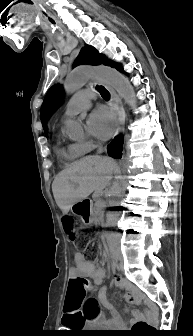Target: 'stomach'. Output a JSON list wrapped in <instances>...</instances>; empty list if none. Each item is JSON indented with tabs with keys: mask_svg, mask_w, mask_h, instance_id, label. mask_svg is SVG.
I'll return each instance as SVG.
<instances>
[{
	"mask_svg": "<svg viewBox=\"0 0 193 336\" xmlns=\"http://www.w3.org/2000/svg\"><path fill=\"white\" fill-rule=\"evenodd\" d=\"M71 211L80 218L85 225H90L93 222L92 204L87 200H80L71 206Z\"/></svg>",
	"mask_w": 193,
	"mask_h": 336,
	"instance_id": "obj_1",
	"label": "stomach"
}]
</instances>
